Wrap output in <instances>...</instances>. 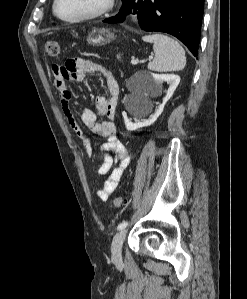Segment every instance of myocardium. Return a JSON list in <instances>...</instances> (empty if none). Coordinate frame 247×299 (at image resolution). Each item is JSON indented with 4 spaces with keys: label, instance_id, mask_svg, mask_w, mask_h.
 <instances>
[{
    "label": "myocardium",
    "instance_id": "myocardium-1",
    "mask_svg": "<svg viewBox=\"0 0 247 299\" xmlns=\"http://www.w3.org/2000/svg\"><path fill=\"white\" fill-rule=\"evenodd\" d=\"M58 2H59V0H54V2H53V6H52L53 14L60 21L65 22V23H69V24L80 23V22L89 21V20L99 18L102 15H104L106 12H108L114 4V0H103L97 9H95L94 11H92L88 14H85V15H82V16H79V17H75V18H64V17L60 16L57 12Z\"/></svg>",
    "mask_w": 247,
    "mask_h": 299
}]
</instances>
